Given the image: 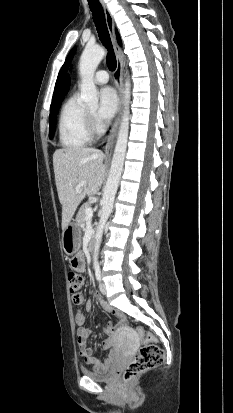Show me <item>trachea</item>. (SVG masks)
Masks as SVG:
<instances>
[{
	"label": "trachea",
	"mask_w": 233,
	"mask_h": 413,
	"mask_svg": "<svg viewBox=\"0 0 233 413\" xmlns=\"http://www.w3.org/2000/svg\"><path fill=\"white\" fill-rule=\"evenodd\" d=\"M89 7L91 9L93 20L98 32V36L102 44L107 48V66L110 71L116 69V57L113 51L110 35L107 29L105 15L99 0H88Z\"/></svg>",
	"instance_id": "1"
}]
</instances>
